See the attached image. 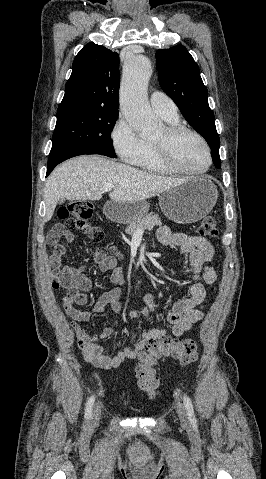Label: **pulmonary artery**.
Masks as SVG:
<instances>
[{
	"instance_id": "obj_1",
	"label": "pulmonary artery",
	"mask_w": 266,
	"mask_h": 479,
	"mask_svg": "<svg viewBox=\"0 0 266 479\" xmlns=\"http://www.w3.org/2000/svg\"><path fill=\"white\" fill-rule=\"evenodd\" d=\"M150 104L153 110L162 117H178V110L173 100L165 93L154 91L150 94Z\"/></svg>"
}]
</instances>
